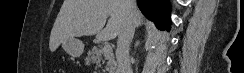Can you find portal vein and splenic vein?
<instances>
[{
	"mask_svg": "<svg viewBox=\"0 0 244 73\" xmlns=\"http://www.w3.org/2000/svg\"><path fill=\"white\" fill-rule=\"evenodd\" d=\"M103 51H104V53H109L112 51V48L110 45H104Z\"/></svg>",
	"mask_w": 244,
	"mask_h": 73,
	"instance_id": "portal-vein-and-splenic-vein-1",
	"label": "portal vein and splenic vein"
}]
</instances>
